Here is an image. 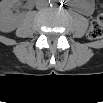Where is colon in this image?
Listing matches in <instances>:
<instances>
[{"label":"colon","instance_id":"obj_1","mask_svg":"<svg viewBox=\"0 0 103 103\" xmlns=\"http://www.w3.org/2000/svg\"><path fill=\"white\" fill-rule=\"evenodd\" d=\"M87 35L92 40L100 39L103 36V14H99L91 22Z\"/></svg>","mask_w":103,"mask_h":103}]
</instances>
